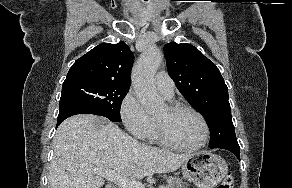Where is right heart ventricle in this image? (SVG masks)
<instances>
[{
	"mask_svg": "<svg viewBox=\"0 0 292 188\" xmlns=\"http://www.w3.org/2000/svg\"><path fill=\"white\" fill-rule=\"evenodd\" d=\"M148 137L152 141H158L156 130H155V126H153V129H152V131H151V133L149 134Z\"/></svg>",
	"mask_w": 292,
	"mask_h": 188,
	"instance_id": "obj_1",
	"label": "right heart ventricle"
}]
</instances>
